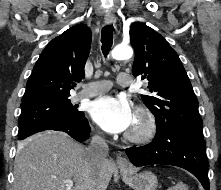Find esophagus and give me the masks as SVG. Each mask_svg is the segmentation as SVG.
Instances as JSON below:
<instances>
[{
    "mask_svg": "<svg viewBox=\"0 0 221 190\" xmlns=\"http://www.w3.org/2000/svg\"><path fill=\"white\" fill-rule=\"evenodd\" d=\"M104 19H105L106 24H108V25H112V24L114 25L116 23V18L113 15V13H111V12H106ZM116 162H117L118 167L121 170H129L130 169L129 161L125 157L118 155Z\"/></svg>",
    "mask_w": 221,
    "mask_h": 190,
    "instance_id": "esophagus-1",
    "label": "esophagus"
}]
</instances>
